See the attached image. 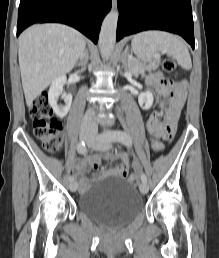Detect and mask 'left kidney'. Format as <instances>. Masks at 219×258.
Wrapping results in <instances>:
<instances>
[{
	"instance_id": "1",
	"label": "left kidney",
	"mask_w": 219,
	"mask_h": 258,
	"mask_svg": "<svg viewBox=\"0 0 219 258\" xmlns=\"http://www.w3.org/2000/svg\"><path fill=\"white\" fill-rule=\"evenodd\" d=\"M154 96L153 93L150 90H147L146 92H143L138 97L139 105L142 109L148 110L153 105Z\"/></svg>"
}]
</instances>
